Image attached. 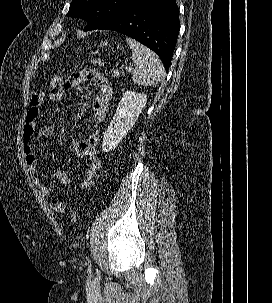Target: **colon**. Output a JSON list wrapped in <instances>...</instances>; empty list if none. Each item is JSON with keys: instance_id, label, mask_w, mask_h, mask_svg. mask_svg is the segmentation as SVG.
<instances>
[{"instance_id": "5ec220e1", "label": "colon", "mask_w": 272, "mask_h": 303, "mask_svg": "<svg viewBox=\"0 0 272 303\" xmlns=\"http://www.w3.org/2000/svg\"><path fill=\"white\" fill-rule=\"evenodd\" d=\"M92 63L100 68L105 66V61L100 57L93 58ZM111 75L115 78H118L121 75V71L118 68H112ZM63 88H64V84L62 82V76L60 75L55 76L51 81L50 90H49L50 99L52 102L57 103L61 100L63 95ZM70 219L73 222H76L78 220V214L76 211L72 210L70 212Z\"/></svg>"}]
</instances>
